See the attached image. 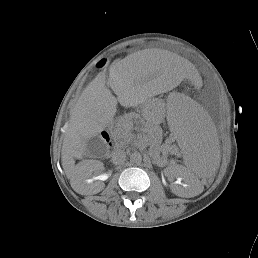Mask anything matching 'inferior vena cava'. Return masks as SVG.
<instances>
[{"mask_svg":"<svg viewBox=\"0 0 258 258\" xmlns=\"http://www.w3.org/2000/svg\"><path fill=\"white\" fill-rule=\"evenodd\" d=\"M125 157H126V155L124 154V152H123V151H119V152L116 154L115 159H116V161H117L118 163H122V162H124Z\"/></svg>","mask_w":258,"mask_h":258,"instance_id":"obj_1","label":"inferior vena cava"}]
</instances>
